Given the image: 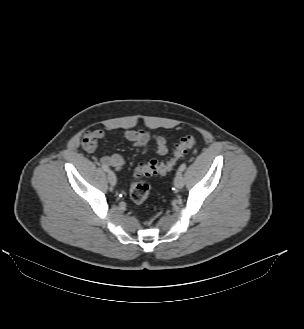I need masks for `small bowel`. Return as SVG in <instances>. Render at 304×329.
Returning <instances> with one entry per match:
<instances>
[{"label":"small bowel","instance_id":"obj_1","mask_svg":"<svg viewBox=\"0 0 304 329\" xmlns=\"http://www.w3.org/2000/svg\"><path fill=\"white\" fill-rule=\"evenodd\" d=\"M105 132L102 129L88 131L82 139V148L93 153L97 149L98 141L103 139ZM125 139L136 147L145 149L150 143H154L156 153L160 156L167 154L168 145L165 138L161 135L151 134L144 130H127L124 133ZM100 162L106 166H110L115 170H121L125 166V160L120 154L112 153L105 155L100 159Z\"/></svg>","mask_w":304,"mask_h":329}]
</instances>
